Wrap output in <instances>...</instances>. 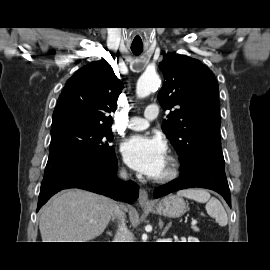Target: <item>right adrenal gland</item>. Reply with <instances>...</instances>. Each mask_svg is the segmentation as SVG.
<instances>
[{
    "instance_id": "2a0ac1e0",
    "label": "right adrenal gland",
    "mask_w": 270,
    "mask_h": 270,
    "mask_svg": "<svg viewBox=\"0 0 270 270\" xmlns=\"http://www.w3.org/2000/svg\"><path fill=\"white\" fill-rule=\"evenodd\" d=\"M107 234H108L109 236H112V232H110V231H108Z\"/></svg>"
}]
</instances>
